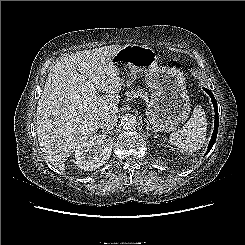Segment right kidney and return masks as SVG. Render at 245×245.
Masks as SVG:
<instances>
[{
    "label": "right kidney",
    "mask_w": 245,
    "mask_h": 245,
    "mask_svg": "<svg viewBox=\"0 0 245 245\" xmlns=\"http://www.w3.org/2000/svg\"><path fill=\"white\" fill-rule=\"evenodd\" d=\"M113 140L107 135H93L75 150L74 161L78 168L92 171L99 168L109 159Z\"/></svg>",
    "instance_id": "1"
}]
</instances>
